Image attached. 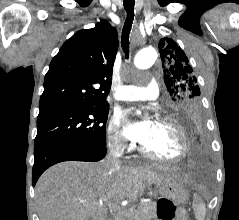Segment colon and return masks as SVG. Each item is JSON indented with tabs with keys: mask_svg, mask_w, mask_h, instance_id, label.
<instances>
[{
	"mask_svg": "<svg viewBox=\"0 0 239 220\" xmlns=\"http://www.w3.org/2000/svg\"><path fill=\"white\" fill-rule=\"evenodd\" d=\"M189 95H195L196 90L190 88L187 90ZM158 213L160 220H174L176 216V207L175 205L166 199H162L158 202Z\"/></svg>",
	"mask_w": 239,
	"mask_h": 220,
	"instance_id": "obj_1",
	"label": "colon"
}]
</instances>
